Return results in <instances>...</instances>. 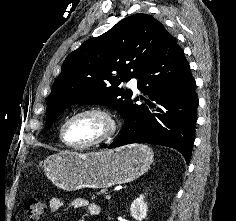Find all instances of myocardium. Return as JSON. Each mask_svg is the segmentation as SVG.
Listing matches in <instances>:
<instances>
[{
  "label": "myocardium",
  "mask_w": 236,
  "mask_h": 221,
  "mask_svg": "<svg viewBox=\"0 0 236 221\" xmlns=\"http://www.w3.org/2000/svg\"><path fill=\"white\" fill-rule=\"evenodd\" d=\"M87 114H97L105 118L109 125L108 132L101 138L96 139L86 144L74 145V144L69 143L65 137V129L67 125L75 118L82 115H87ZM118 130H119L118 119L109 109L104 108V107H99V106H93V107H87V108L81 109L73 113L72 115H70L60 127V139L63 142V144L67 146L68 148L75 149V150H85V149H90L96 146L103 145L113 140L118 134Z\"/></svg>",
  "instance_id": "myocardium-1"
}]
</instances>
